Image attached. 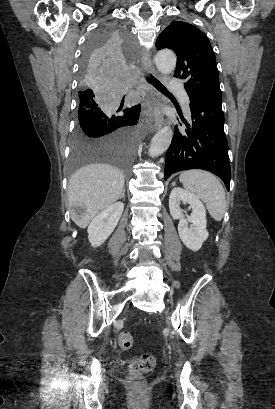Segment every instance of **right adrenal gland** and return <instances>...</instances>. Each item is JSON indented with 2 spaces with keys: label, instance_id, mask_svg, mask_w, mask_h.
<instances>
[{
  "label": "right adrenal gland",
  "instance_id": "obj_1",
  "mask_svg": "<svg viewBox=\"0 0 275 409\" xmlns=\"http://www.w3.org/2000/svg\"><path fill=\"white\" fill-rule=\"evenodd\" d=\"M125 190H126V188H123L122 194H121V196H119V198H124V196H125Z\"/></svg>",
  "mask_w": 275,
  "mask_h": 409
}]
</instances>
